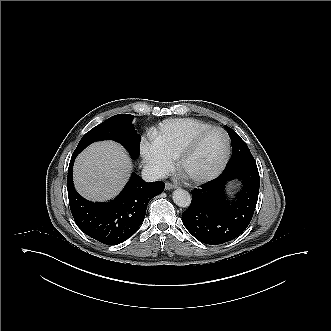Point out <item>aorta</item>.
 <instances>
[{
    "label": "aorta",
    "instance_id": "1",
    "mask_svg": "<svg viewBox=\"0 0 331 331\" xmlns=\"http://www.w3.org/2000/svg\"><path fill=\"white\" fill-rule=\"evenodd\" d=\"M174 203L182 208H187L191 204V195L184 189H176L172 194Z\"/></svg>",
    "mask_w": 331,
    "mask_h": 331
}]
</instances>
